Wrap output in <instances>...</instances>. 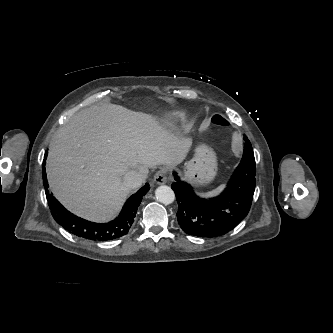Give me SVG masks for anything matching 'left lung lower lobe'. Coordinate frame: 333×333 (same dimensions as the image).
<instances>
[{
	"label": "left lung lower lobe",
	"mask_w": 333,
	"mask_h": 333,
	"mask_svg": "<svg viewBox=\"0 0 333 333\" xmlns=\"http://www.w3.org/2000/svg\"><path fill=\"white\" fill-rule=\"evenodd\" d=\"M256 163L252 145L244 136L243 157L226 189L215 198L198 197L191 185L181 181L174 172L178 211L177 220L181 229L198 237H217L235 228L248 214L255 191Z\"/></svg>",
	"instance_id": "0a47b994"
}]
</instances>
